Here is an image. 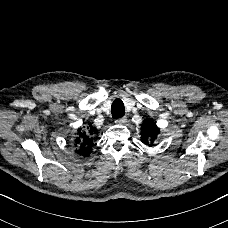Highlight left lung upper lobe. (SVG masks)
Segmentation results:
<instances>
[{
	"mask_svg": "<svg viewBox=\"0 0 228 228\" xmlns=\"http://www.w3.org/2000/svg\"><path fill=\"white\" fill-rule=\"evenodd\" d=\"M159 132H160L159 128L151 119L144 120L141 128L142 143L149 146L153 145Z\"/></svg>",
	"mask_w": 228,
	"mask_h": 228,
	"instance_id": "5c2ea615",
	"label": "left lung upper lobe"
}]
</instances>
